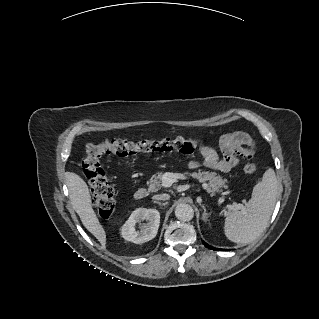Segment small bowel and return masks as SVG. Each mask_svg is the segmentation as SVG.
<instances>
[{"mask_svg": "<svg viewBox=\"0 0 319 319\" xmlns=\"http://www.w3.org/2000/svg\"><path fill=\"white\" fill-rule=\"evenodd\" d=\"M220 147L223 157H219L217 152L211 147H202L200 150L202 160H190L188 167L197 169L200 166L212 170L227 173L231 171L241 159L252 154L253 143L249 135L245 133L228 134L221 138Z\"/></svg>", "mask_w": 319, "mask_h": 319, "instance_id": "c3829d8e", "label": "small bowel"}]
</instances>
